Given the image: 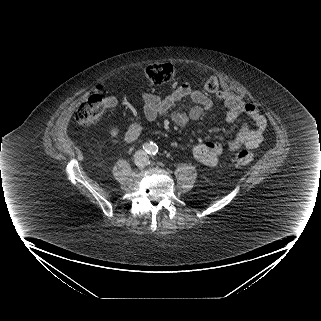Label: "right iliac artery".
Here are the masks:
<instances>
[{
    "label": "right iliac artery",
    "instance_id": "1",
    "mask_svg": "<svg viewBox=\"0 0 321 321\" xmlns=\"http://www.w3.org/2000/svg\"><path fill=\"white\" fill-rule=\"evenodd\" d=\"M143 149H144L147 153H149V152H151L152 147H151L150 144H144V145H143Z\"/></svg>",
    "mask_w": 321,
    "mask_h": 321
}]
</instances>
